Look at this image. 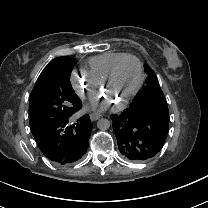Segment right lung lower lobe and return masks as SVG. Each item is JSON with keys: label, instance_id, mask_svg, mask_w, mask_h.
Instances as JSON below:
<instances>
[{"label": "right lung lower lobe", "instance_id": "right-lung-lower-lobe-1", "mask_svg": "<svg viewBox=\"0 0 208 208\" xmlns=\"http://www.w3.org/2000/svg\"><path fill=\"white\" fill-rule=\"evenodd\" d=\"M73 114L30 123L32 134L42 153L59 165L78 161L89 146L92 128L90 118L86 114L71 124Z\"/></svg>", "mask_w": 208, "mask_h": 208}]
</instances>
